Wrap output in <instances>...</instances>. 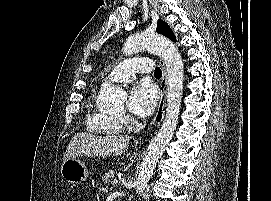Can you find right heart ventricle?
<instances>
[{"label":"right heart ventricle","mask_w":271,"mask_h":201,"mask_svg":"<svg viewBox=\"0 0 271 201\" xmlns=\"http://www.w3.org/2000/svg\"><path fill=\"white\" fill-rule=\"evenodd\" d=\"M87 128L96 134H115L122 130V126L115 117L107 115L99 110L93 111L91 105L87 113Z\"/></svg>","instance_id":"obj_1"}]
</instances>
